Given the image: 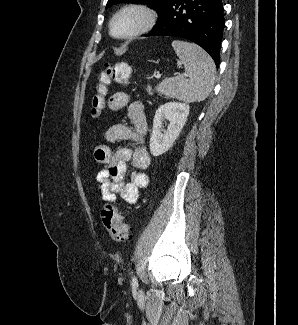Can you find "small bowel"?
<instances>
[{"label": "small bowel", "mask_w": 298, "mask_h": 325, "mask_svg": "<svg viewBox=\"0 0 298 325\" xmlns=\"http://www.w3.org/2000/svg\"><path fill=\"white\" fill-rule=\"evenodd\" d=\"M111 111L128 108V117L133 124H115L105 132V140L110 143L131 142L132 147L122 146L115 152L108 144H101L95 148L94 158L103 168L97 173L96 189L106 202H115L122 198L129 204L138 200L139 191L149 183L145 170L150 165V155L145 146L147 122L144 108L141 103H130L125 92L114 93L108 101ZM127 163H130L133 172L130 180H125Z\"/></svg>", "instance_id": "obj_1"}]
</instances>
